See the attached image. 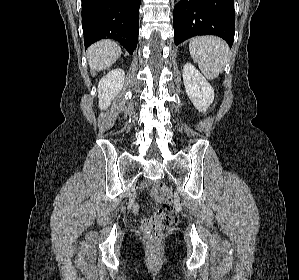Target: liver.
Wrapping results in <instances>:
<instances>
[{"label": "liver", "instance_id": "6515ba94", "mask_svg": "<svg viewBox=\"0 0 299 280\" xmlns=\"http://www.w3.org/2000/svg\"><path fill=\"white\" fill-rule=\"evenodd\" d=\"M121 55V49L117 43L111 40H102L87 50V59L92 71H100L109 68Z\"/></svg>", "mask_w": 299, "mask_h": 280}]
</instances>
